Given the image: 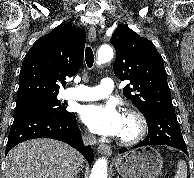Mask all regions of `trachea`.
<instances>
[{"instance_id":"obj_1","label":"trachea","mask_w":194,"mask_h":178,"mask_svg":"<svg viewBox=\"0 0 194 178\" xmlns=\"http://www.w3.org/2000/svg\"><path fill=\"white\" fill-rule=\"evenodd\" d=\"M85 61L89 68L93 66L94 63V55L91 47H87L85 50Z\"/></svg>"}]
</instances>
